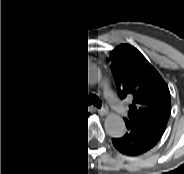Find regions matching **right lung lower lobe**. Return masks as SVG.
Wrapping results in <instances>:
<instances>
[{
	"label": "right lung lower lobe",
	"instance_id": "obj_1",
	"mask_svg": "<svg viewBox=\"0 0 184 174\" xmlns=\"http://www.w3.org/2000/svg\"><path fill=\"white\" fill-rule=\"evenodd\" d=\"M84 118L85 116H82L77 121L67 126L59 134L52 136L46 140L35 142V144L45 150L52 152L67 150L78 139Z\"/></svg>",
	"mask_w": 184,
	"mask_h": 174
}]
</instances>
